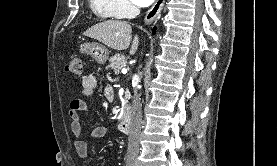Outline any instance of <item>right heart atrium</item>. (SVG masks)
I'll use <instances>...</instances> for the list:
<instances>
[{
    "label": "right heart atrium",
    "instance_id": "obj_1",
    "mask_svg": "<svg viewBox=\"0 0 277 166\" xmlns=\"http://www.w3.org/2000/svg\"><path fill=\"white\" fill-rule=\"evenodd\" d=\"M112 6L118 16H128L134 12V6L130 0H111Z\"/></svg>",
    "mask_w": 277,
    "mask_h": 166
}]
</instances>
